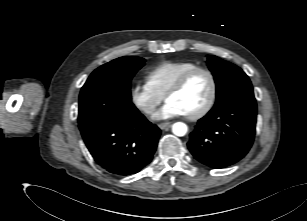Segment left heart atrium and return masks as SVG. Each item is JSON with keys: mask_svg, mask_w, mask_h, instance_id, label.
<instances>
[{"mask_svg": "<svg viewBox=\"0 0 307 221\" xmlns=\"http://www.w3.org/2000/svg\"><path fill=\"white\" fill-rule=\"evenodd\" d=\"M185 115L183 109L174 102L167 101L166 104L155 114V119H167Z\"/></svg>", "mask_w": 307, "mask_h": 221, "instance_id": "obj_1", "label": "left heart atrium"}]
</instances>
